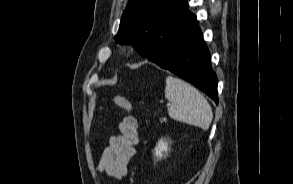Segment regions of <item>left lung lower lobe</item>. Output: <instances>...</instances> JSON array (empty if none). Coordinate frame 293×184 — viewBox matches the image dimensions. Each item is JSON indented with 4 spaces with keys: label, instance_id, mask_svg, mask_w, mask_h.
Listing matches in <instances>:
<instances>
[{
    "label": "left lung lower lobe",
    "instance_id": "obj_1",
    "mask_svg": "<svg viewBox=\"0 0 293 184\" xmlns=\"http://www.w3.org/2000/svg\"><path fill=\"white\" fill-rule=\"evenodd\" d=\"M148 51L153 53L149 60L192 83L218 104L217 77L211 67L210 52L186 0Z\"/></svg>",
    "mask_w": 293,
    "mask_h": 184
}]
</instances>
